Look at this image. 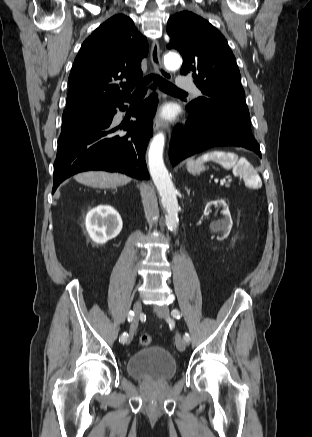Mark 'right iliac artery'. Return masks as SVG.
<instances>
[{
    "label": "right iliac artery",
    "mask_w": 312,
    "mask_h": 437,
    "mask_svg": "<svg viewBox=\"0 0 312 437\" xmlns=\"http://www.w3.org/2000/svg\"><path fill=\"white\" fill-rule=\"evenodd\" d=\"M133 317H134V312L130 311L129 314H128V321H129V322L132 321V320H133ZM127 338H128V334L124 332V333L120 336L119 341H120L121 343H125V342L127 341Z\"/></svg>",
    "instance_id": "1"
}]
</instances>
